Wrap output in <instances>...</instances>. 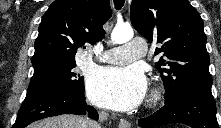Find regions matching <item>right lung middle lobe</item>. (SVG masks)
Instances as JSON below:
<instances>
[{"label":"right lung middle lobe","instance_id":"right-lung-middle-lobe-1","mask_svg":"<svg viewBox=\"0 0 221 128\" xmlns=\"http://www.w3.org/2000/svg\"><path fill=\"white\" fill-rule=\"evenodd\" d=\"M76 63L52 69L31 78L27 94L35 93L51 87H66L84 93V78L74 70Z\"/></svg>","mask_w":221,"mask_h":128}]
</instances>
